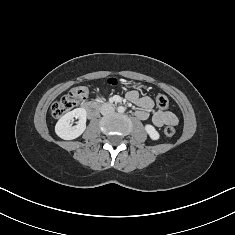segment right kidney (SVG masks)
Returning <instances> with one entry per match:
<instances>
[{
    "mask_svg": "<svg viewBox=\"0 0 235 235\" xmlns=\"http://www.w3.org/2000/svg\"><path fill=\"white\" fill-rule=\"evenodd\" d=\"M86 110L84 108H76L63 115L55 126L56 134L64 140H72L79 137L86 129ZM74 118H78L76 126H72L71 122Z\"/></svg>",
    "mask_w": 235,
    "mask_h": 235,
    "instance_id": "1",
    "label": "right kidney"
}]
</instances>
